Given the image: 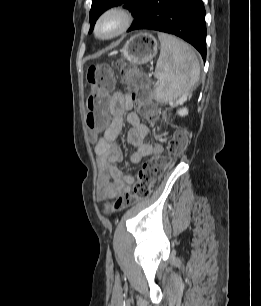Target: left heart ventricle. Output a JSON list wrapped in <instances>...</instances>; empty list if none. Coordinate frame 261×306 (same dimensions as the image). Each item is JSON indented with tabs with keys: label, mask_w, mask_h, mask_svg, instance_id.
Wrapping results in <instances>:
<instances>
[{
	"label": "left heart ventricle",
	"mask_w": 261,
	"mask_h": 306,
	"mask_svg": "<svg viewBox=\"0 0 261 306\" xmlns=\"http://www.w3.org/2000/svg\"><path fill=\"white\" fill-rule=\"evenodd\" d=\"M117 24H118V22H117L116 19H114V18L108 19L104 23V25H103V27L101 29V33L102 34H107V33H110L112 31H114L115 28L117 27Z\"/></svg>",
	"instance_id": "obj_1"
}]
</instances>
